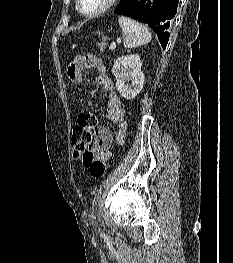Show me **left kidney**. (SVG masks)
Segmentation results:
<instances>
[{"mask_svg": "<svg viewBox=\"0 0 233 263\" xmlns=\"http://www.w3.org/2000/svg\"><path fill=\"white\" fill-rule=\"evenodd\" d=\"M141 67L142 62L138 54L122 56L115 61L112 72L117 80L116 88L123 98L134 99L142 90L144 74Z\"/></svg>", "mask_w": 233, "mask_h": 263, "instance_id": "obj_1", "label": "left kidney"}]
</instances>
